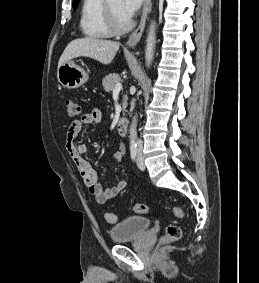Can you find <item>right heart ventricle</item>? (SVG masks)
<instances>
[{
	"label": "right heart ventricle",
	"mask_w": 259,
	"mask_h": 283,
	"mask_svg": "<svg viewBox=\"0 0 259 283\" xmlns=\"http://www.w3.org/2000/svg\"><path fill=\"white\" fill-rule=\"evenodd\" d=\"M105 0H83L80 27L83 34L91 39H104L112 36L104 13Z\"/></svg>",
	"instance_id": "1"
}]
</instances>
